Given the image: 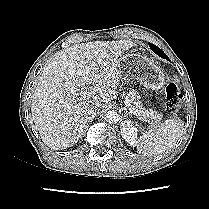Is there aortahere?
I'll list each match as a JSON object with an SVG mask.
<instances>
[{
  "label": "aorta",
  "mask_w": 209,
  "mask_h": 209,
  "mask_svg": "<svg viewBox=\"0 0 209 209\" xmlns=\"http://www.w3.org/2000/svg\"><path fill=\"white\" fill-rule=\"evenodd\" d=\"M120 114L114 110L106 111L103 115V119L108 124H115L120 120Z\"/></svg>",
  "instance_id": "762f6f07"
}]
</instances>
